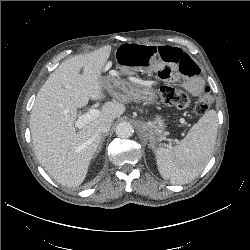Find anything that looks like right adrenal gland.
Masks as SVG:
<instances>
[{
	"label": "right adrenal gland",
	"mask_w": 250,
	"mask_h": 250,
	"mask_svg": "<svg viewBox=\"0 0 250 250\" xmlns=\"http://www.w3.org/2000/svg\"><path fill=\"white\" fill-rule=\"evenodd\" d=\"M107 135H108V134H103V135L101 136V141H100V143H99V145H98V148H97V150H96V153H97V154L101 151V148H102V145H103V141H104V139H105V137H106Z\"/></svg>",
	"instance_id": "right-adrenal-gland-1"
}]
</instances>
